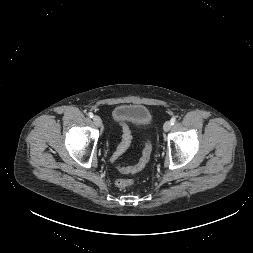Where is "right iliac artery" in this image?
<instances>
[{
    "mask_svg": "<svg viewBox=\"0 0 253 253\" xmlns=\"http://www.w3.org/2000/svg\"><path fill=\"white\" fill-rule=\"evenodd\" d=\"M88 116H89L90 118H92V117H93V113H92V112H89V113H88Z\"/></svg>",
    "mask_w": 253,
    "mask_h": 253,
    "instance_id": "obj_1",
    "label": "right iliac artery"
}]
</instances>
